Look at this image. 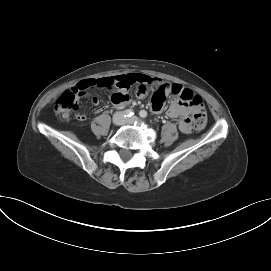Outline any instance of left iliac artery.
Here are the masks:
<instances>
[{"mask_svg":"<svg viewBox=\"0 0 271 271\" xmlns=\"http://www.w3.org/2000/svg\"><path fill=\"white\" fill-rule=\"evenodd\" d=\"M139 115H140V117H142V118H146L147 115H148V113H147V111H145V110H141V111L139 112Z\"/></svg>","mask_w":271,"mask_h":271,"instance_id":"1","label":"left iliac artery"}]
</instances>
